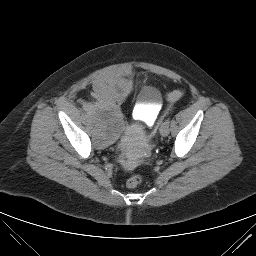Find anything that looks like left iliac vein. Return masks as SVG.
<instances>
[{
  "label": "left iliac vein",
  "mask_w": 256,
  "mask_h": 256,
  "mask_svg": "<svg viewBox=\"0 0 256 256\" xmlns=\"http://www.w3.org/2000/svg\"><path fill=\"white\" fill-rule=\"evenodd\" d=\"M169 131H170V129H169V123L168 122H164V123H162V125L160 126V129H159V132H160V134L162 135V136H167L168 134H169Z\"/></svg>",
  "instance_id": "1"
}]
</instances>
